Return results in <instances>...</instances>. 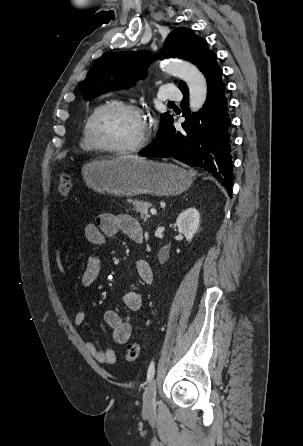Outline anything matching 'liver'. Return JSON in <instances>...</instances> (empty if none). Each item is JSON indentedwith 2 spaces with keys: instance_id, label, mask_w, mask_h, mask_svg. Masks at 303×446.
Instances as JSON below:
<instances>
[{
  "instance_id": "1",
  "label": "liver",
  "mask_w": 303,
  "mask_h": 446,
  "mask_svg": "<svg viewBox=\"0 0 303 446\" xmlns=\"http://www.w3.org/2000/svg\"><path fill=\"white\" fill-rule=\"evenodd\" d=\"M120 158L140 159V158H138L137 156H134V155L122 156Z\"/></svg>"
}]
</instances>
